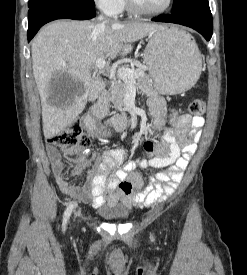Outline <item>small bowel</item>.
<instances>
[{
	"instance_id": "obj_1",
	"label": "small bowel",
	"mask_w": 247,
	"mask_h": 275,
	"mask_svg": "<svg viewBox=\"0 0 247 275\" xmlns=\"http://www.w3.org/2000/svg\"><path fill=\"white\" fill-rule=\"evenodd\" d=\"M149 107L155 118V127L160 129L167 118L166 102L160 96H152ZM169 121L172 128L166 130L160 139L145 141L144 149L150 155L149 159L125 161V150L107 149L103 152L102 163L88 171L82 186L69 183L60 152L49 144L47 153L60 190L82 202H91L95 208L121 204L131 209L167 199L178 188L183 172L196 152L200 130L205 123L201 115L180 113L177 110L171 112ZM86 124L92 128L90 119L86 120ZM81 153L82 157L71 171V176L79 175L91 165L88 151L82 149ZM138 166L165 170L151 176L146 183L144 177L136 171ZM122 185L128 186L129 191H123Z\"/></svg>"
}]
</instances>
